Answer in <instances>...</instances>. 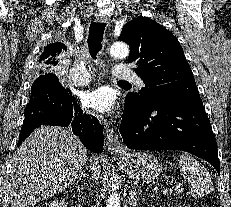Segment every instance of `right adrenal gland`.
<instances>
[{"label":"right adrenal gland","mask_w":231,"mask_h":207,"mask_svg":"<svg viewBox=\"0 0 231 207\" xmlns=\"http://www.w3.org/2000/svg\"><path fill=\"white\" fill-rule=\"evenodd\" d=\"M81 175H83V177H86V175L84 174V173H82ZM82 179V176H80V180ZM76 188H77V190L79 191V193L81 192V193H84V191H85V187H81L80 188V186L78 185V186H76Z\"/></svg>","instance_id":"1"}]
</instances>
